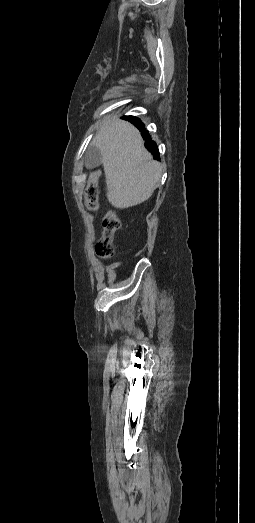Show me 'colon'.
Listing matches in <instances>:
<instances>
[{"label": "colon", "instance_id": "colon-1", "mask_svg": "<svg viewBox=\"0 0 255 523\" xmlns=\"http://www.w3.org/2000/svg\"><path fill=\"white\" fill-rule=\"evenodd\" d=\"M98 179L99 173L94 172L88 178V183L84 193L86 207L95 211L98 208ZM121 223L117 214L110 210L105 213L102 219V234L96 243L95 251L98 257L110 259L114 256V236L120 229Z\"/></svg>", "mask_w": 255, "mask_h": 523}]
</instances>
